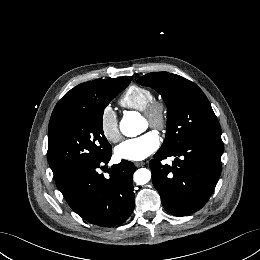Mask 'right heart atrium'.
<instances>
[{
  "mask_svg": "<svg viewBox=\"0 0 260 260\" xmlns=\"http://www.w3.org/2000/svg\"><path fill=\"white\" fill-rule=\"evenodd\" d=\"M100 129L103 136L110 142H118L121 138L118 117L115 110L106 106L100 114Z\"/></svg>",
  "mask_w": 260,
  "mask_h": 260,
  "instance_id": "d8ad5b80",
  "label": "right heart atrium"
}]
</instances>
